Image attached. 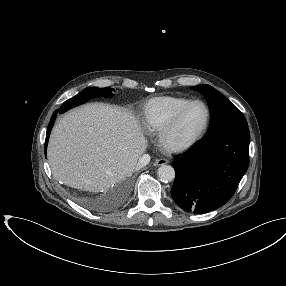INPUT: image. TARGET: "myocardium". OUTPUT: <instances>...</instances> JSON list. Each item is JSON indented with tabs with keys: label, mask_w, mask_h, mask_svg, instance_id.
<instances>
[{
	"label": "myocardium",
	"mask_w": 286,
	"mask_h": 286,
	"mask_svg": "<svg viewBox=\"0 0 286 286\" xmlns=\"http://www.w3.org/2000/svg\"><path fill=\"white\" fill-rule=\"evenodd\" d=\"M195 104H201L204 106L206 110V122L203 129L197 134L193 139L188 142L182 144H175L170 140V136L175 128L180 123L181 119L185 115V113ZM211 123V111L209 106L201 101V100H192L187 105H185L182 109H180L177 114L163 127V129L159 132V143L165 150L169 152L179 153L184 152L192 147H194L207 133L209 126Z\"/></svg>",
	"instance_id": "1"
}]
</instances>
